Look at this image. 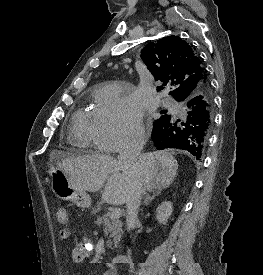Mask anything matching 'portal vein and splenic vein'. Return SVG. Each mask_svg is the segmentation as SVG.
<instances>
[{
	"mask_svg": "<svg viewBox=\"0 0 263 275\" xmlns=\"http://www.w3.org/2000/svg\"><path fill=\"white\" fill-rule=\"evenodd\" d=\"M111 218L118 219L121 217V210L120 208H115L110 213Z\"/></svg>",
	"mask_w": 263,
	"mask_h": 275,
	"instance_id": "1",
	"label": "portal vein and splenic vein"
}]
</instances>
